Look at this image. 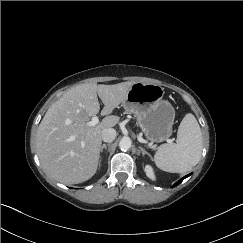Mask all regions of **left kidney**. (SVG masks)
Returning <instances> with one entry per match:
<instances>
[{
	"label": "left kidney",
	"mask_w": 243,
	"mask_h": 243,
	"mask_svg": "<svg viewBox=\"0 0 243 243\" xmlns=\"http://www.w3.org/2000/svg\"><path fill=\"white\" fill-rule=\"evenodd\" d=\"M145 172H146L147 177H149L152 180H155V174H154L153 168L150 165L145 166Z\"/></svg>",
	"instance_id": "obj_1"
}]
</instances>
